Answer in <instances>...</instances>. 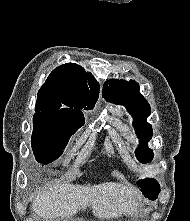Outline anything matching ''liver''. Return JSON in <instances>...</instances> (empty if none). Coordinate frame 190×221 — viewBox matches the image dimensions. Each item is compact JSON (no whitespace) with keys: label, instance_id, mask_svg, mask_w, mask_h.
I'll list each match as a JSON object with an SVG mask.
<instances>
[{"label":"liver","instance_id":"6515ba94","mask_svg":"<svg viewBox=\"0 0 190 221\" xmlns=\"http://www.w3.org/2000/svg\"><path fill=\"white\" fill-rule=\"evenodd\" d=\"M138 197L132 188L114 182L94 186L56 184L39 192L31 207L37 216L47 221L71 217L87 207L104 220L132 214Z\"/></svg>","mask_w":190,"mask_h":221}]
</instances>
